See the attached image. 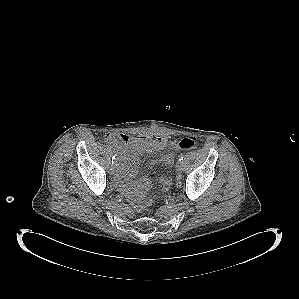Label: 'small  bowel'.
Wrapping results in <instances>:
<instances>
[{"mask_svg": "<svg viewBox=\"0 0 299 299\" xmlns=\"http://www.w3.org/2000/svg\"><path fill=\"white\" fill-rule=\"evenodd\" d=\"M106 140L115 148L118 153L117 179L124 185L137 188L140 191H146L151 187V182L148 178H141L137 182L131 179L137 174L139 168V157L142 153H152L155 151L164 150L172 142L165 136H149L140 135L130 137L126 134L108 133L105 136ZM175 157L173 153H166L161 157L150 162L151 166L163 164L165 166H172ZM164 190L171 185V179L162 177L159 180Z\"/></svg>", "mask_w": 299, "mask_h": 299, "instance_id": "small-bowel-1", "label": "small bowel"}]
</instances>
